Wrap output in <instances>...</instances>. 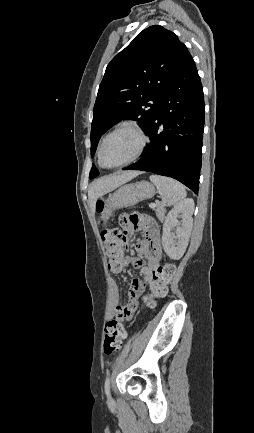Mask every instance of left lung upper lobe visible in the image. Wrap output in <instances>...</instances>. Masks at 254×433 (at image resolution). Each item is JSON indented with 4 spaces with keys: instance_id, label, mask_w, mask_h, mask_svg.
Listing matches in <instances>:
<instances>
[{
    "instance_id": "1",
    "label": "left lung upper lobe",
    "mask_w": 254,
    "mask_h": 433,
    "mask_svg": "<svg viewBox=\"0 0 254 433\" xmlns=\"http://www.w3.org/2000/svg\"><path fill=\"white\" fill-rule=\"evenodd\" d=\"M187 53V47L177 35L162 26L153 25L140 32L111 60L94 105L91 155H94L103 133L122 119L138 121L146 132L167 86ZM98 174L93 165L89 178Z\"/></svg>"
}]
</instances>
